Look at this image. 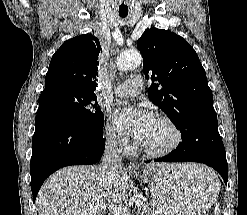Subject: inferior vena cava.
<instances>
[{
    "instance_id": "obj_1",
    "label": "inferior vena cava",
    "mask_w": 247,
    "mask_h": 215,
    "mask_svg": "<svg viewBox=\"0 0 247 215\" xmlns=\"http://www.w3.org/2000/svg\"><path fill=\"white\" fill-rule=\"evenodd\" d=\"M121 143L116 139L106 141V147L102 157L100 168L109 181H113L121 168Z\"/></svg>"
}]
</instances>
